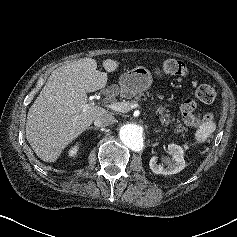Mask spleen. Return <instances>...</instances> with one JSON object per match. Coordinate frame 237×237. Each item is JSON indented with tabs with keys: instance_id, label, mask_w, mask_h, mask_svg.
<instances>
[{
	"instance_id": "1",
	"label": "spleen",
	"mask_w": 237,
	"mask_h": 237,
	"mask_svg": "<svg viewBox=\"0 0 237 237\" xmlns=\"http://www.w3.org/2000/svg\"><path fill=\"white\" fill-rule=\"evenodd\" d=\"M216 130V124L213 121L203 122L195 133V140L197 143L205 142L210 135Z\"/></svg>"
}]
</instances>
